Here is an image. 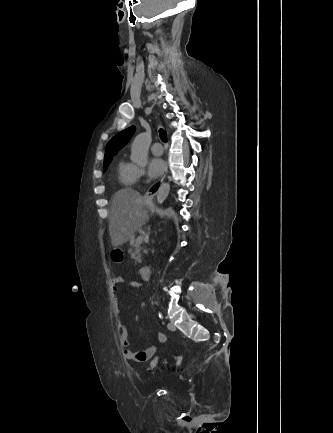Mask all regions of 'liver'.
<instances>
[{
  "instance_id": "1",
  "label": "liver",
  "mask_w": 333,
  "mask_h": 433,
  "mask_svg": "<svg viewBox=\"0 0 333 433\" xmlns=\"http://www.w3.org/2000/svg\"><path fill=\"white\" fill-rule=\"evenodd\" d=\"M148 220V213L144 210V199L139 192L131 188L117 191L109 208V234L112 246L118 247L126 243Z\"/></svg>"
}]
</instances>
